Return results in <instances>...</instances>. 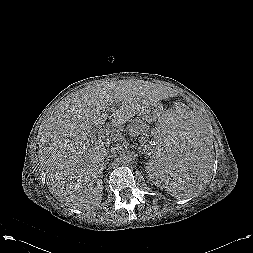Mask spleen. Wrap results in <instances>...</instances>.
Wrapping results in <instances>:
<instances>
[{"instance_id": "obj_1", "label": "spleen", "mask_w": 253, "mask_h": 253, "mask_svg": "<svg viewBox=\"0 0 253 253\" xmlns=\"http://www.w3.org/2000/svg\"><path fill=\"white\" fill-rule=\"evenodd\" d=\"M148 146L153 156L147 170L164 178L172 196L197 193L209 173L211 155L205 131L193 113L177 109L159 115L152 124Z\"/></svg>"}]
</instances>
